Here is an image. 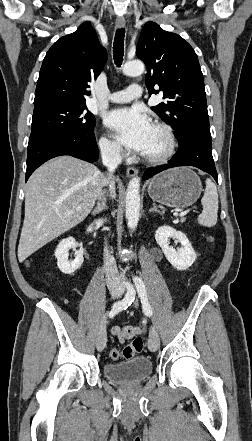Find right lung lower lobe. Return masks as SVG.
I'll return each instance as SVG.
<instances>
[{
  "label": "right lung lower lobe",
  "instance_id": "1",
  "mask_svg": "<svg viewBox=\"0 0 252 441\" xmlns=\"http://www.w3.org/2000/svg\"><path fill=\"white\" fill-rule=\"evenodd\" d=\"M70 155L90 163L99 156L94 132L88 135L76 133L40 134L30 137L28 143L26 181L47 160Z\"/></svg>",
  "mask_w": 252,
  "mask_h": 441
}]
</instances>
